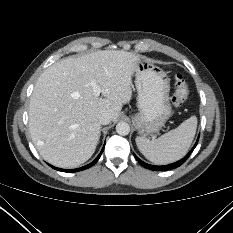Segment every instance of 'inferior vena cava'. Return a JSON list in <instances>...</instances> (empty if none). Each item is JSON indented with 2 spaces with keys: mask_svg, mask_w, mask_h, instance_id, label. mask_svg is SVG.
<instances>
[{
  "mask_svg": "<svg viewBox=\"0 0 233 233\" xmlns=\"http://www.w3.org/2000/svg\"><path fill=\"white\" fill-rule=\"evenodd\" d=\"M111 114L104 111L98 116L99 123L102 125H107L111 122Z\"/></svg>",
  "mask_w": 233,
  "mask_h": 233,
  "instance_id": "1",
  "label": "inferior vena cava"
}]
</instances>
